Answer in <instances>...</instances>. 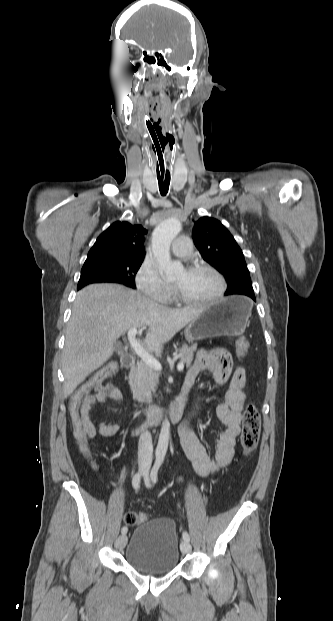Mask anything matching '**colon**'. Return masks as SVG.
<instances>
[{
    "instance_id": "colon-1",
    "label": "colon",
    "mask_w": 333,
    "mask_h": 621,
    "mask_svg": "<svg viewBox=\"0 0 333 621\" xmlns=\"http://www.w3.org/2000/svg\"><path fill=\"white\" fill-rule=\"evenodd\" d=\"M249 348V343L246 339L240 338L236 342V349L239 356L246 355ZM118 366L116 363H108L94 373L72 396L69 405V418L73 434L81 453L89 460H91V453L86 443V434L83 425V421L80 415V403L83 396L94 389L97 386L103 384V382L116 374ZM261 432V417L254 405H248L244 411L242 433H241V447L245 455L251 454L258 445ZM148 517L145 513L141 512H128L125 515V523L133 526L141 524L147 521Z\"/></svg>"
}]
</instances>
